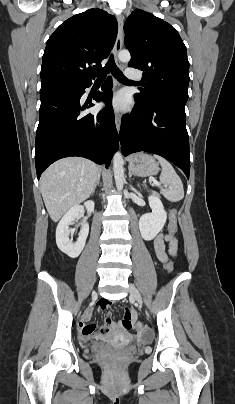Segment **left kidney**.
Segmentation results:
<instances>
[{
    "label": "left kidney",
    "instance_id": "1",
    "mask_svg": "<svg viewBox=\"0 0 235 404\" xmlns=\"http://www.w3.org/2000/svg\"><path fill=\"white\" fill-rule=\"evenodd\" d=\"M148 200L152 212L142 215L139 219L140 233L146 241L153 240L162 231L167 219V213L159 197L151 195Z\"/></svg>",
    "mask_w": 235,
    "mask_h": 404
}]
</instances>
